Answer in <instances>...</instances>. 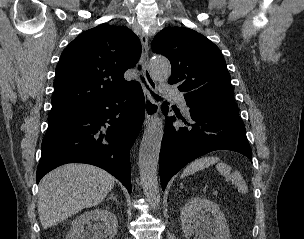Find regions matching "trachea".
Instances as JSON below:
<instances>
[{
    "mask_svg": "<svg viewBox=\"0 0 304 239\" xmlns=\"http://www.w3.org/2000/svg\"><path fill=\"white\" fill-rule=\"evenodd\" d=\"M139 69H140V67H139ZM142 80L144 81V78H142ZM151 93L155 97V99H157V100L161 99L158 95L154 94L153 92H151Z\"/></svg>",
    "mask_w": 304,
    "mask_h": 239,
    "instance_id": "3493384b",
    "label": "trachea"
}]
</instances>
